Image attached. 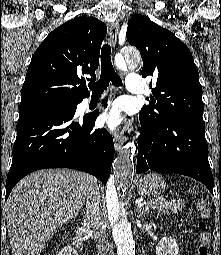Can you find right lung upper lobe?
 Wrapping results in <instances>:
<instances>
[{"label": "right lung upper lobe", "mask_w": 221, "mask_h": 255, "mask_svg": "<svg viewBox=\"0 0 221 255\" xmlns=\"http://www.w3.org/2000/svg\"><path fill=\"white\" fill-rule=\"evenodd\" d=\"M107 32L100 20L81 16L53 30L38 47L21 90L20 109L77 102L89 95L85 81L96 79ZM90 75L92 78H85Z\"/></svg>", "instance_id": "right-lung-upper-lobe-1"}]
</instances>
